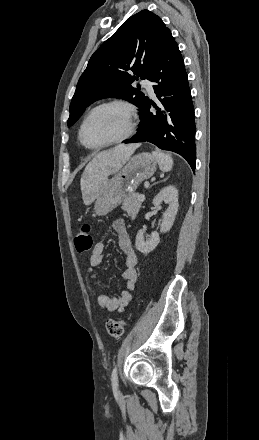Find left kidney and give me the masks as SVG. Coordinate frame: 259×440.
<instances>
[{"instance_id": "1", "label": "left kidney", "mask_w": 259, "mask_h": 440, "mask_svg": "<svg viewBox=\"0 0 259 440\" xmlns=\"http://www.w3.org/2000/svg\"><path fill=\"white\" fill-rule=\"evenodd\" d=\"M162 202L168 205V208L163 213V220L160 226V232L166 233L169 231L174 223L175 216L178 211V190L175 186L169 185L161 189V191L154 197L153 205L159 207ZM144 230L140 229L136 235L135 245L138 251L143 254H148L153 251L160 242L159 233L154 232L145 240Z\"/></svg>"}]
</instances>
